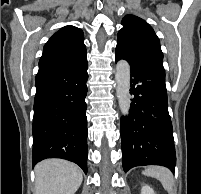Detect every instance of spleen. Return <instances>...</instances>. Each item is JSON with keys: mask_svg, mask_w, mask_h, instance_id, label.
Returning a JSON list of instances; mask_svg holds the SVG:
<instances>
[{"mask_svg": "<svg viewBox=\"0 0 201 194\" xmlns=\"http://www.w3.org/2000/svg\"><path fill=\"white\" fill-rule=\"evenodd\" d=\"M143 175L154 177L158 179L164 189L169 193L172 194L173 190V175L172 173L164 167H148L143 172Z\"/></svg>", "mask_w": 201, "mask_h": 194, "instance_id": "spleen-1", "label": "spleen"}]
</instances>
